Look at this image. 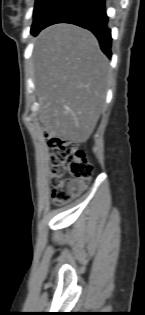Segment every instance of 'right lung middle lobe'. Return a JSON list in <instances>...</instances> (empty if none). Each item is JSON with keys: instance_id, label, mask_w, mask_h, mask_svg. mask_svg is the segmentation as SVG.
<instances>
[{"instance_id": "1", "label": "right lung middle lobe", "mask_w": 145, "mask_h": 315, "mask_svg": "<svg viewBox=\"0 0 145 315\" xmlns=\"http://www.w3.org/2000/svg\"><path fill=\"white\" fill-rule=\"evenodd\" d=\"M66 0H36L33 12L31 33L36 35L46 21L58 10Z\"/></svg>"}]
</instances>
